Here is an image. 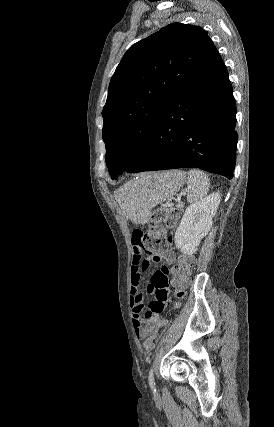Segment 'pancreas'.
<instances>
[{"label":"pancreas","instance_id":"1","mask_svg":"<svg viewBox=\"0 0 274 427\" xmlns=\"http://www.w3.org/2000/svg\"><path fill=\"white\" fill-rule=\"evenodd\" d=\"M183 208H184L183 202H178L175 210H179V212H181V210H183Z\"/></svg>","mask_w":274,"mask_h":427}]
</instances>
